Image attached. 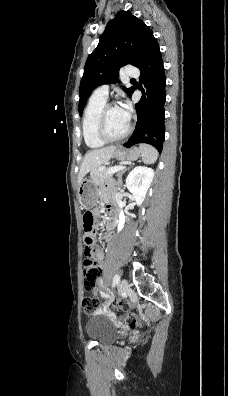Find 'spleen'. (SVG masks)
Wrapping results in <instances>:
<instances>
[{"label": "spleen", "instance_id": "3e777b00", "mask_svg": "<svg viewBox=\"0 0 228 396\" xmlns=\"http://www.w3.org/2000/svg\"><path fill=\"white\" fill-rule=\"evenodd\" d=\"M139 150L141 152L142 161L145 164H153L158 158V152L154 147L148 144H140Z\"/></svg>", "mask_w": 228, "mask_h": 396}]
</instances>
